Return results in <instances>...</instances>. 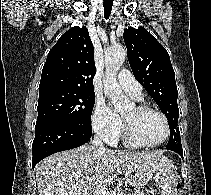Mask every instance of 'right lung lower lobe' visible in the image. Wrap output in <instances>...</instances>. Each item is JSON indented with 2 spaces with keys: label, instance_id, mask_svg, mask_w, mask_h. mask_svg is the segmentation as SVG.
Instances as JSON below:
<instances>
[{
  "label": "right lung lower lobe",
  "instance_id": "1",
  "mask_svg": "<svg viewBox=\"0 0 211 195\" xmlns=\"http://www.w3.org/2000/svg\"><path fill=\"white\" fill-rule=\"evenodd\" d=\"M35 131L32 145L33 168L40 160L51 154L85 144L92 135L91 126L63 122L49 123L36 128Z\"/></svg>",
  "mask_w": 211,
  "mask_h": 195
}]
</instances>
